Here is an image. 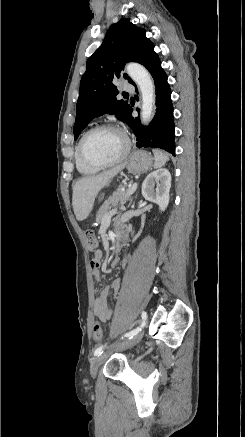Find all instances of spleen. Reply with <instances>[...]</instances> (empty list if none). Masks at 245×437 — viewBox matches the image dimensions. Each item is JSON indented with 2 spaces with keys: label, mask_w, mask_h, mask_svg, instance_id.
Returning <instances> with one entry per match:
<instances>
[{
  "label": "spleen",
  "mask_w": 245,
  "mask_h": 437,
  "mask_svg": "<svg viewBox=\"0 0 245 437\" xmlns=\"http://www.w3.org/2000/svg\"><path fill=\"white\" fill-rule=\"evenodd\" d=\"M152 151L155 158L154 168H161L169 160L168 154L156 148H154Z\"/></svg>",
  "instance_id": "3e777b00"
}]
</instances>
